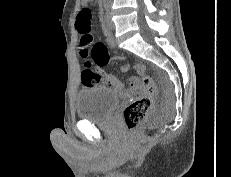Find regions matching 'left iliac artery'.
I'll return each instance as SVG.
<instances>
[{"mask_svg":"<svg viewBox=\"0 0 231 177\" xmlns=\"http://www.w3.org/2000/svg\"><path fill=\"white\" fill-rule=\"evenodd\" d=\"M104 8L108 9L109 8V4L107 2H104Z\"/></svg>","mask_w":231,"mask_h":177,"instance_id":"left-iliac-artery-1","label":"left iliac artery"}]
</instances>
